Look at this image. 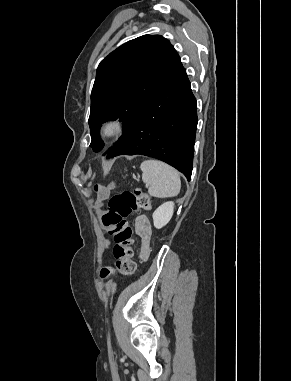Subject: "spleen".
Wrapping results in <instances>:
<instances>
[{"instance_id": "spleen-1", "label": "spleen", "mask_w": 291, "mask_h": 381, "mask_svg": "<svg viewBox=\"0 0 291 381\" xmlns=\"http://www.w3.org/2000/svg\"><path fill=\"white\" fill-rule=\"evenodd\" d=\"M142 180L148 187L150 196L168 198L177 196L181 189L178 172L170 165L158 160H145L141 163Z\"/></svg>"}]
</instances>
